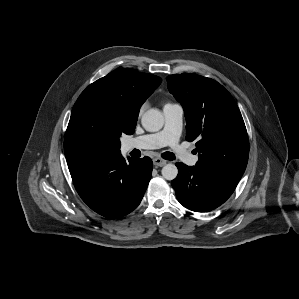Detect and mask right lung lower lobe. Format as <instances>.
Segmentation results:
<instances>
[{"label": "right lung lower lobe", "instance_id": "obj_1", "mask_svg": "<svg viewBox=\"0 0 299 299\" xmlns=\"http://www.w3.org/2000/svg\"><path fill=\"white\" fill-rule=\"evenodd\" d=\"M67 164L82 200L107 218L125 216L140 204L153 169L149 157H128L126 161L121 153L95 162Z\"/></svg>", "mask_w": 299, "mask_h": 299}]
</instances>
